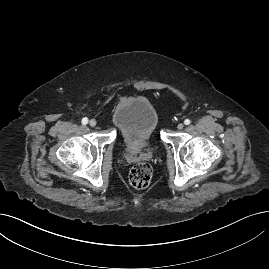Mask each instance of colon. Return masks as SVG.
Segmentation results:
<instances>
[{
	"label": "colon",
	"mask_w": 269,
	"mask_h": 269,
	"mask_svg": "<svg viewBox=\"0 0 269 269\" xmlns=\"http://www.w3.org/2000/svg\"><path fill=\"white\" fill-rule=\"evenodd\" d=\"M153 170L148 163H139L132 167L129 173L130 185L136 189L149 186L152 180Z\"/></svg>",
	"instance_id": "obj_1"
}]
</instances>
